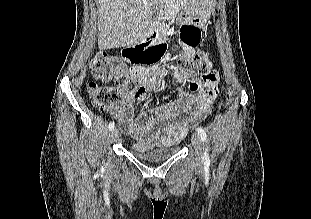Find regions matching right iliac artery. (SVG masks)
<instances>
[{
  "instance_id": "82829eb1",
  "label": "right iliac artery",
  "mask_w": 311,
  "mask_h": 219,
  "mask_svg": "<svg viewBox=\"0 0 311 219\" xmlns=\"http://www.w3.org/2000/svg\"><path fill=\"white\" fill-rule=\"evenodd\" d=\"M114 127H115L114 122H110L108 126L109 130H112Z\"/></svg>"
}]
</instances>
